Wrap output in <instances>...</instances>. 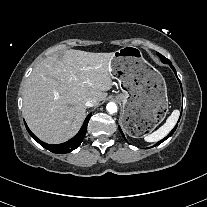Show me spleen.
I'll list each match as a JSON object with an SVG mask.
<instances>
[{
    "mask_svg": "<svg viewBox=\"0 0 207 207\" xmlns=\"http://www.w3.org/2000/svg\"><path fill=\"white\" fill-rule=\"evenodd\" d=\"M179 117V111L174 110L167 118L166 122L155 132L150 135H145V140L148 142L159 141L163 139L175 126Z\"/></svg>",
    "mask_w": 207,
    "mask_h": 207,
    "instance_id": "spleen-1",
    "label": "spleen"
}]
</instances>
